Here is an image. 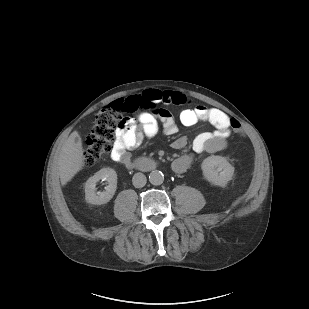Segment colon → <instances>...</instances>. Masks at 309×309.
<instances>
[{"mask_svg": "<svg viewBox=\"0 0 309 309\" xmlns=\"http://www.w3.org/2000/svg\"><path fill=\"white\" fill-rule=\"evenodd\" d=\"M130 98L113 102L101 109L87 137L82 153V163L85 167L93 166L99 159L112 151L118 130L125 128L130 123L127 116L131 113ZM235 133L244 137L245 132L237 120L231 121Z\"/></svg>", "mask_w": 309, "mask_h": 309, "instance_id": "colon-1", "label": "colon"}]
</instances>
